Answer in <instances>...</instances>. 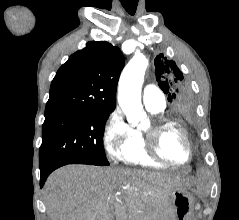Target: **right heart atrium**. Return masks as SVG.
Returning a JSON list of instances; mask_svg holds the SVG:
<instances>
[{
    "mask_svg": "<svg viewBox=\"0 0 239 220\" xmlns=\"http://www.w3.org/2000/svg\"><path fill=\"white\" fill-rule=\"evenodd\" d=\"M133 140V128L126 122L120 108L108 115L103 129V144L112 159H119L122 150Z\"/></svg>",
    "mask_w": 239,
    "mask_h": 220,
    "instance_id": "d8ad5b80",
    "label": "right heart atrium"
}]
</instances>
